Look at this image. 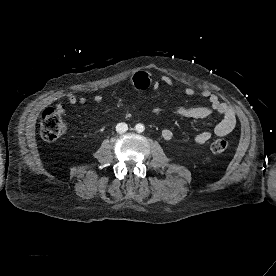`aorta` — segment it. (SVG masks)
<instances>
[{
    "instance_id": "1",
    "label": "aorta",
    "mask_w": 276,
    "mask_h": 276,
    "mask_svg": "<svg viewBox=\"0 0 276 276\" xmlns=\"http://www.w3.org/2000/svg\"><path fill=\"white\" fill-rule=\"evenodd\" d=\"M135 130H136L137 132H143V131L145 130V127H144L143 124L138 123V124H136V126H135Z\"/></svg>"
}]
</instances>
